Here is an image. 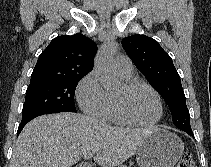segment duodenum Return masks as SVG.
<instances>
[{"instance_id":"410a0bca","label":"duodenum","mask_w":211,"mask_h":167,"mask_svg":"<svg viewBox=\"0 0 211 167\" xmlns=\"http://www.w3.org/2000/svg\"><path fill=\"white\" fill-rule=\"evenodd\" d=\"M77 167H90L89 165H86V164H82V165H79Z\"/></svg>"}]
</instances>
